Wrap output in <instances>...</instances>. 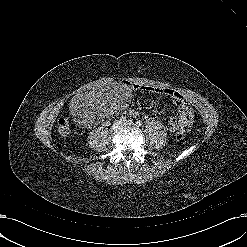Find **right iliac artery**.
Here are the masks:
<instances>
[{"instance_id":"right-iliac-artery-1","label":"right iliac artery","mask_w":247,"mask_h":247,"mask_svg":"<svg viewBox=\"0 0 247 247\" xmlns=\"http://www.w3.org/2000/svg\"><path fill=\"white\" fill-rule=\"evenodd\" d=\"M120 120H121V121H126V117H123V116H122V117L120 118Z\"/></svg>"}]
</instances>
